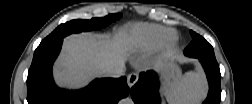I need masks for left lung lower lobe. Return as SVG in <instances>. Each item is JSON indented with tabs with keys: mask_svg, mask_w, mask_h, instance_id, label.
I'll use <instances>...</instances> for the list:
<instances>
[{
	"mask_svg": "<svg viewBox=\"0 0 252 104\" xmlns=\"http://www.w3.org/2000/svg\"><path fill=\"white\" fill-rule=\"evenodd\" d=\"M185 54V50H184ZM186 55V54H185ZM206 73L209 92L203 104H219L221 100L219 65L212 58H197ZM158 75L154 71L140 73L138 82L131 88L130 94L135 104H160Z\"/></svg>",
	"mask_w": 252,
	"mask_h": 104,
	"instance_id": "left-lung-lower-lobe-1",
	"label": "left lung lower lobe"
}]
</instances>
